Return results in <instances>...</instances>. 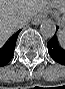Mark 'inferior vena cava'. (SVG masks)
I'll list each match as a JSON object with an SVG mask.
<instances>
[{"label": "inferior vena cava", "instance_id": "1", "mask_svg": "<svg viewBox=\"0 0 65 89\" xmlns=\"http://www.w3.org/2000/svg\"><path fill=\"white\" fill-rule=\"evenodd\" d=\"M28 20H29L28 18H22V19L18 20L17 27L18 28L23 27L28 22Z\"/></svg>", "mask_w": 65, "mask_h": 89}]
</instances>
